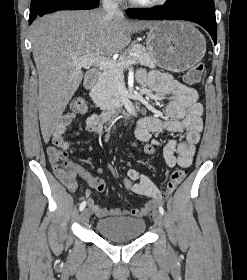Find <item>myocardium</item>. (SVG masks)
Returning a JSON list of instances; mask_svg holds the SVG:
<instances>
[{
    "instance_id": "obj_1",
    "label": "myocardium",
    "mask_w": 247,
    "mask_h": 280,
    "mask_svg": "<svg viewBox=\"0 0 247 280\" xmlns=\"http://www.w3.org/2000/svg\"><path fill=\"white\" fill-rule=\"evenodd\" d=\"M129 2L135 7L150 9L164 5L168 2V0H150L146 2L138 0H129Z\"/></svg>"
}]
</instances>
